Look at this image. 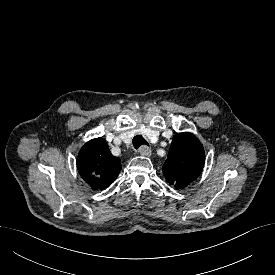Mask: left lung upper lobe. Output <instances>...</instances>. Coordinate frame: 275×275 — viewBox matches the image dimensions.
I'll return each instance as SVG.
<instances>
[{"label":"left lung upper lobe","mask_w":275,"mask_h":275,"mask_svg":"<svg viewBox=\"0 0 275 275\" xmlns=\"http://www.w3.org/2000/svg\"><path fill=\"white\" fill-rule=\"evenodd\" d=\"M205 152L200 141L191 133L174 135L163 174L168 183L181 189L194 181L202 172Z\"/></svg>","instance_id":"obj_1"}]
</instances>
